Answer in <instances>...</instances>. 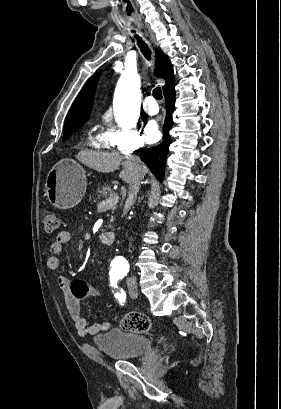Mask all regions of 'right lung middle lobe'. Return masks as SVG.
I'll list each match as a JSON object with an SVG mask.
<instances>
[{"label":"right lung middle lobe","instance_id":"right-lung-middle-lobe-1","mask_svg":"<svg viewBox=\"0 0 281 409\" xmlns=\"http://www.w3.org/2000/svg\"><path fill=\"white\" fill-rule=\"evenodd\" d=\"M82 125L79 126H66L64 127L63 140H66L73 132L79 129Z\"/></svg>","mask_w":281,"mask_h":409}]
</instances>
